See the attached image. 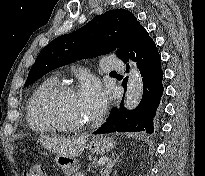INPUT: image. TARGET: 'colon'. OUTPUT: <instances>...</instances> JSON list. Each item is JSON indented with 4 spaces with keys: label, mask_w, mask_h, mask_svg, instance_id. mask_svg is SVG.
<instances>
[{
    "label": "colon",
    "mask_w": 205,
    "mask_h": 176,
    "mask_svg": "<svg viewBox=\"0 0 205 176\" xmlns=\"http://www.w3.org/2000/svg\"><path fill=\"white\" fill-rule=\"evenodd\" d=\"M24 176H43L44 166L40 160L26 161L22 166Z\"/></svg>",
    "instance_id": "colon-1"
}]
</instances>
